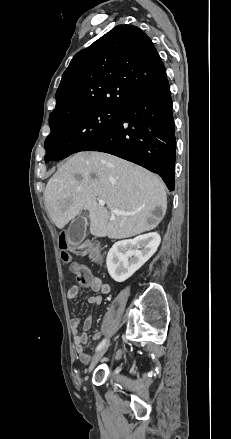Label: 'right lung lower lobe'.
<instances>
[{"instance_id":"98d812e1","label":"right lung lower lobe","mask_w":231,"mask_h":439,"mask_svg":"<svg viewBox=\"0 0 231 439\" xmlns=\"http://www.w3.org/2000/svg\"><path fill=\"white\" fill-rule=\"evenodd\" d=\"M175 127L170 86L145 92L121 111L118 122L83 151H100L136 163L175 187Z\"/></svg>"}]
</instances>
